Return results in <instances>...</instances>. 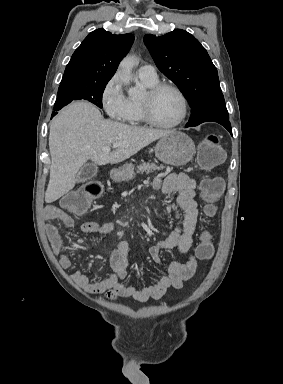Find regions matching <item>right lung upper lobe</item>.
Masks as SVG:
<instances>
[{"label": "right lung upper lobe", "mask_w": 283, "mask_h": 384, "mask_svg": "<svg viewBox=\"0 0 283 384\" xmlns=\"http://www.w3.org/2000/svg\"><path fill=\"white\" fill-rule=\"evenodd\" d=\"M133 41L132 34L115 35L104 29L89 33L73 53L60 86L108 83Z\"/></svg>", "instance_id": "cb5924a9"}]
</instances>
